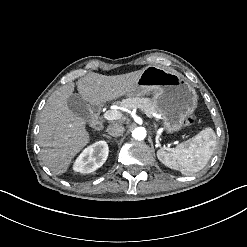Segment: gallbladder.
Here are the masks:
<instances>
[{
  "mask_svg": "<svg viewBox=\"0 0 247 247\" xmlns=\"http://www.w3.org/2000/svg\"><path fill=\"white\" fill-rule=\"evenodd\" d=\"M68 108L81 118H87L89 116L88 106L84 98L78 93H72L68 97Z\"/></svg>",
  "mask_w": 247,
  "mask_h": 247,
  "instance_id": "obj_1",
  "label": "gallbladder"
}]
</instances>
